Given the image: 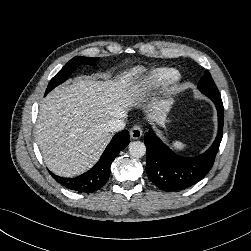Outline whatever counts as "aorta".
Returning <instances> with one entry per match:
<instances>
[{
	"mask_svg": "<svg viewBox=\"0 0 251 251\" xmlns=\"http://www.w3.org/2000/svg\"><path fill=\"white\" fill-rule=\"evenodd\" d=\"M146 153V146L143 142L134 141L129 144V154L135 158H140Z\"/></svg>",
	"mask_w": 251,
	"mask_h": 251,
	"instance_id": "aorta-1",
	"label": "aorta"
}]
</instances>
